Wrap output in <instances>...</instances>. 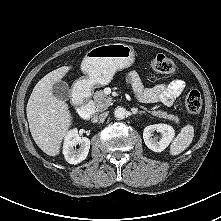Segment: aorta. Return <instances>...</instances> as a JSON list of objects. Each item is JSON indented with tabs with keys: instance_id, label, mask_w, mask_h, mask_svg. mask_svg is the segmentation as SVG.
<instances>
[{
	"instance_id": "obj_1",
	"label": "aorta",
	"mask_w": 221,
	"mask_h": 221,
	"mask_svg": "<svg viewBox=\"0 0 221 221\" xmlns=\"http://www.w3.org/2000/svg\"><path fill=\"white\" fill-rule=\"evenodd\" d=\"M127 114V111L123 107H116L114 110V116L118 119H124Z\"/></svg>"
}]
</instances>
